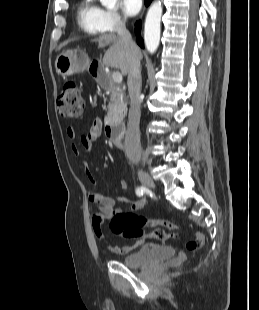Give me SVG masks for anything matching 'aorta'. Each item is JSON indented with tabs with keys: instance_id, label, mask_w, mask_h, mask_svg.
Here are the masks:
<instances>
[{
	"instance_id": "762f6f07",
	"label": "aorta",
	"mask_w": 259,
	"mask_h": 310,
	"mask_svg": "<svg viewBox=\"0 0 259 310\" xmlns=\"http://www.w3.org/2000/svg\"><path fill=\"white\" fill-rule=\"evenodd\" d=\"M108 9L116 7L117 0H100ZM162 5L160 1L154 2L148 10L145 20L144 41L147 50L152 54L156 52L160 41V23L162 16Z\"/></svg>"
}]
</instances>
